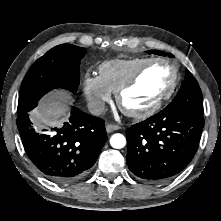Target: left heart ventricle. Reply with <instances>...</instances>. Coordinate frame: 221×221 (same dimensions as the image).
Here are the masks:
<instances>
[{
  "mask_svg": "<svg viewBox=\"0 0 221 221\" xmlns=\"http://www.w3.org/2000/svg\"><path fill=\"white\" fill-rule=\"evenodd\" d=\"M173 71L164 63H154L140 76L137 83L123 95V105L133 111L151 106L168 88Z\"/></svg>",
  "mask_w": 221,
  "mask_h": 221,
  "instance_id": "1",
  "label": "left heart ventricle"
}]
</instances>
